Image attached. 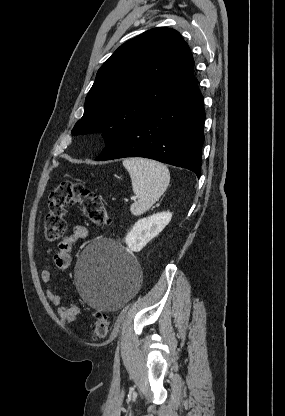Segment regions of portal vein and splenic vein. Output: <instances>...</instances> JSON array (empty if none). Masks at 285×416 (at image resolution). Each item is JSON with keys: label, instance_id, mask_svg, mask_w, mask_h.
Returning <instances> with one entry per match:
<instances>
[{"label": "portal vein and splenic vein", "instance_id": "18ae733b", "mask_svg": "<svg viewBox=\"0 0 285 416\" xmlns=\"http://www.w3.org/2000/svg\"><path fill=\"white\" fill-rule=\"evenodd\" d=\"M130 200H137V196H133V198H130Z\"/></svg>", "mask_w": 285, "mask_h": 416}]
</instances>
